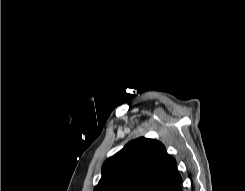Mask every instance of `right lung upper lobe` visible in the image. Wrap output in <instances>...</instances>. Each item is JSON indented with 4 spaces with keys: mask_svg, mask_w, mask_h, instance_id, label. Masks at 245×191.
Here are the masks:
<instances>
[{
    "mask_svg": "<svg viewBox=\"0 0 245 191\" xmlns=\"http://www.w3.org/2000/svg\"><path fill=\"white\" fill-rule=\"evenodd\" d=\"M180 183L176 161L164 145L141 137L104 162L93 191H173Z\"/></svg>",
    "mask_w": 245,
    "mask_h": 191,
    "instance_id": "cb5924a9",
    "label": "right lung upper lobe"
}]
</instances>
